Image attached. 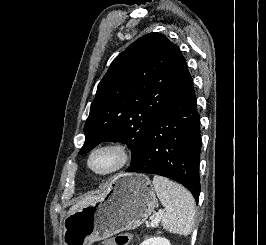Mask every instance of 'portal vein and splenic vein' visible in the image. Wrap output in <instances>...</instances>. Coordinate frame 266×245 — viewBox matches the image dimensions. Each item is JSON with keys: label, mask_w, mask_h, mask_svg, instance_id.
<instances>
[{"label": "portal vein and splenic vein", "mask_w": 266, "mask_h": 245, "mask_svg": "<svg viewBox=\"0 0 266 245\" xmlns=\"http://www.w3.org/2000/svg\"><path fill=\"white\" fill-rule=\"evenodd\" d=\"M163 213H164L163 209H160L156 219H154V221H151V223H150V225H148V227H157Z\"/></svg>", "instance_id": "1"}]
</instances>
